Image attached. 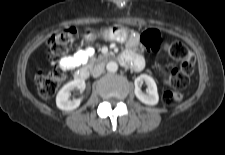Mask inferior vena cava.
<instances>
[{
  "label": "inferior vena cava",
  "mask_w": 225,
  "mask_h": 155,
  "mask_svg": "<svg viewBox=\"0 0 225 155\" xmlns=\"http://www.w3.org/2000/svg\"><path fill=\"white\" fill-rule=\"evenodd\" d=\"M104 72V64L96 65L92 70L93 77H99Z\"/></svg>",
  "instance_id": "obj_1"
}]
</instances>
